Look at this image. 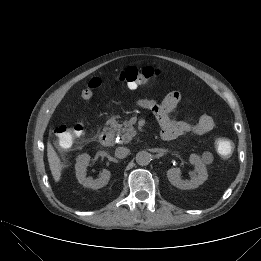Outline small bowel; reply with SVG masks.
Instances as JSON below:
<instances>
[{
    "label": "small bowel",
    "mask_w": 261,
    "mask_h": 261,
    "mask_svg": "<svg viewBox=\"0 0 261 261\" xmlns=\"http://www.w3.org/2000/svg\"><path fill=\"white\" fill-rule=\"evenodd\" d=\"M138 85L130 84L128 88L134 90ZM181 95L177 91L168 93L163 100L141 98L133 103L141 108L150 110L157 118L160 126V136L164 140H173L185 134L204 135L212 131L214 121L210 115L203 114L195 122L173 121L171 112L177 107Z\"/></svg>",
    "instance_id": "obj_1"
}]
</instances>
